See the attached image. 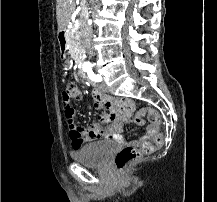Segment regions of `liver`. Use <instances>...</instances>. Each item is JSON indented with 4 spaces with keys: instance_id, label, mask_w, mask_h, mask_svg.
<instances>
[{
    "instance_id": "liver-1",
    "label": "liver",
    "mask_w": 217,
    "mask_h": 202,
    "mask_svg": "<svg viewBox=\"0 0 217 202\" xmlns=\"http://www.w3.org/2000/svg\"><path fill=\"white\" fill-rule=\"evenodd\" d=\"M56 18L58 32H62L70 24L71 16L76 8L74 0H56Z\"/></svg>"
}]
</instances>
